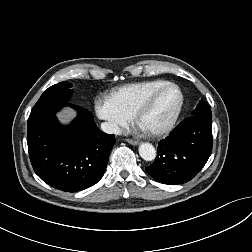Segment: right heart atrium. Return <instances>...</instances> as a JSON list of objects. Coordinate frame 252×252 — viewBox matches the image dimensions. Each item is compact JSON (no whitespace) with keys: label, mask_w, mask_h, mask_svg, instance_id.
Returning a JSON list of instances; mask_svg holds the SVG:
<instances>
[{"label":"right heart atrium","mask_w":252,"mask_h":252,"mask_svg":"<svg viewBox=\"0 0 252 252\" xmlns=\"http://www.w3.org/2000/svg\"><path fill=\"white\" fill-rule=\"evenodd\" d=\"M94 109L98 118L104 122V129L109 133H119L132 121V115L120 108L110 96L97 97Z\"/></svg>","instance_id":"right-heart-atrium-1"}]
</instances>
